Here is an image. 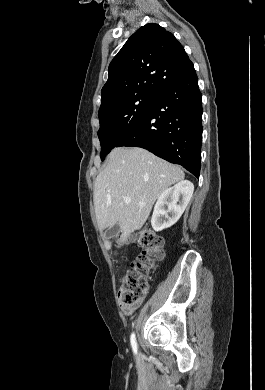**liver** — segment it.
Returning <instances> with one entry per match:
<instances>
[{"instance_id": "6515ba94", "label": "liver", "mask_w": 265, "mask_h": 390, "mask_svg": "<svg viewBox=\"0 0 265 390\" xmlns=\"http://www.w3.org/2000/svg\"><path fill=\"white\" fill-rule=\"evenodd\" d=\"M184 177L180 167L143 148H114L94 185V207L99 229L102 231L118 224L125 241L144 225L162 192ZM124 197L131 198V202L126 204ZM106 246L110 249L111 242L106 241Z\"/></svg>"}]
</instances>
